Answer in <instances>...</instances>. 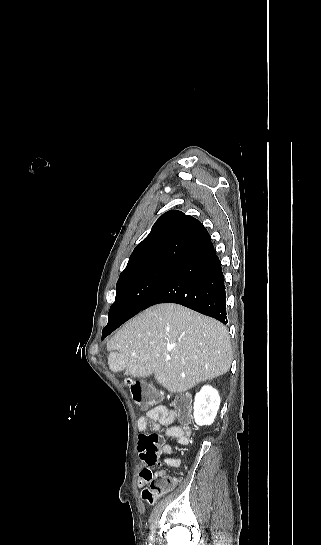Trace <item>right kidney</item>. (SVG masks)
I'll use <instances>...</instances> for the list:
<instances>
[{"instance_id": "obj_1", "label": "right kidney", "mask_w": 321, "mask_h": 545, "mask_svg": "<svg viewBox=\"0 0 321 545\" xmlns=\"http://www.w3.org/2000/svg\"><path fill=\"white\" fill-rule=\"evenodd\" d=\"M221 399L218 391L205 385L202 387L200 393H197L194 403V419L197 425L203 427V425H212L217 415V411L220 407Z\"/></svg>"}]
</instances>
